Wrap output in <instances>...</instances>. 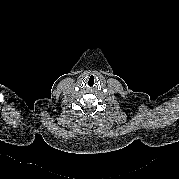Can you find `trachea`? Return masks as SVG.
<instances>
[{
    "instance_id": "3493384b",
    "label": "trachea",
    "mask_w": 179,
    "mask_h": 179,
    "mask_svg": "<svg viewBox=\"0 0 179 179\" xmlns=\"http://www.w3.org/2000/svg\"><path fill=\"white\" fill-rule=\"evenodd\" d=\"M97 79L94 75H89L87 77V85L89 87H94L96 85Z\"/></svg>"
}]
</instances>
